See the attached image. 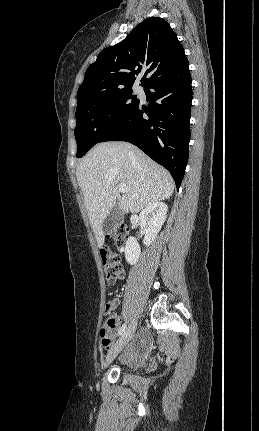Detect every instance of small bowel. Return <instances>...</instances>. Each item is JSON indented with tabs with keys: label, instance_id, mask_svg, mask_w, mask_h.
<instances>
[{
	"label": "small bowel",
	"instance_id": "small-bowel-1",
	"mask_svg": "<svg viewBox=\"0 0 259 431\" xmlns=\"http://www.w3.org/2000/svg\"><path fill=\"white\" fill-rule=\"evenodd\" d=\"M111 305H112V308L115 309L119 305V300L118 299L112 300ZM118 325H119V322L116 320L115 328H117ZM114 336H115V333L112 331L110 334V344L108 346H104L106 349H109L111 347ZM146 343H147V337L144 333H141L140 336L132 343L131 352L142 354L146 346Z\"/></svg>",
	"mask_w": 259,
	"mask_h": 431
}]
</instances>
